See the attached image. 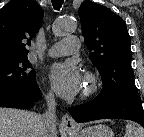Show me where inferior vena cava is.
<instances>
[{
    "label": "inferior vena cava",
    "instance_id": "obj_1",
    "mask_svg": "<svg viewBox=\"0 0 144 137\" xmlns=\"http://www.w3.org/2000/svg\"><path fill=\"white\" fill-rule=\"evenodd\" d=\"M48 109L45 114L41 117V137H55L56 130V115L55 108L56 102L54 99V95L49 94L46 96Z\"/></svg>",
    "mask_w": 144,
    "mask_h": 137
}]
</instances>
